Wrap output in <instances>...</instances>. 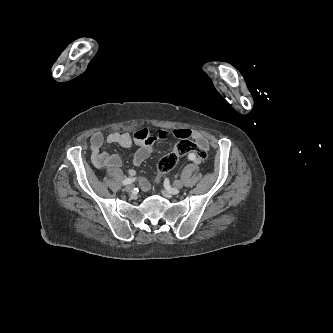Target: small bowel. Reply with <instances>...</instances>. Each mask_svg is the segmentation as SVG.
Listing matches in <instances>:
<instances>
[{"label":"small bowel","mask_w":333,"mask_h":333,"mask_svg":"<svg viewBox=\"0 0 333 333\" xmlns=\"http://www.w3.org/2000/svg\"><path fill=\"white\" fill-rule=\"evenodd\" d=\"M169 135L179 139L192 138L197 142L198 146L205 149L209 146V140L207 137L199 131L190 129H173L169 131L141 129L134 134L112 132L106 137H104L101 132H95L90 137L91 162L97 169H108L111 171H114L120 166V158L118 155L110 154L101 150L104 142H107L110 144H117L125 148L135 145L137 150L133 157V163L136 166H140L152 154L154 142ZM187 159L197 163L195 155L193 154L189 155ZM129 174L134 175V170H130ZM142 189H149L148 182H142Z\"/></svg>","instance_id":"obj_1"}]
</instances>
